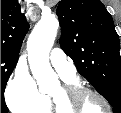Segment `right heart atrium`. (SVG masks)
<instances>
[{"label":"right heart atrium","instance_id":"right-heart-atrium-1","mask_svg":"<svg viewBox=\"0 0 121 113\" xmlns=\"http://www.w3.org/2000/svg\"><path fill=\"white\" fill-rule=\"evenodd\" d=\"M5 98L15 113H36L43 95L31 74L18 66L8 81Z\"/></svg>","mask_w":121,"mask_h":113}]
</instances>
